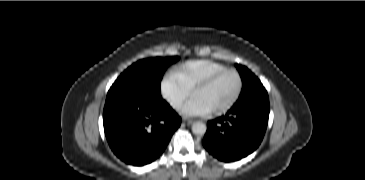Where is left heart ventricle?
<instances>
[{"mask_svg":"<svg viewBox=\"0 0 365 180\" xmlns=\"http://www.w3.org/2000/svg\"><path fill=\"white\" fill-rule=\"evenodd\" d=\"M238 87V78L234 73H227L206 89L196 94L197 99L209 111L228 103Z\"/></svg>","mask_w":365,"mask_h":180,"instance_id":"b2bd125f","label":"left heart ventricle"}]
</instances>
